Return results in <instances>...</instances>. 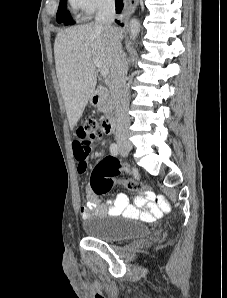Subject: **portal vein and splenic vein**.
Masks as SVG:
<instances>
[{
  "label": "portal vein and splenic vein",
  "mask_w": 227,
  "mask_h": 298,
  "mask_svg": "<svg viewBox=\"0 0 227 298\" xmlns=\"http://www.w3.org/2000/svg\"><path fill=\"white\" fill-rule=\"evenodd\" d=\"M93 62H94V65L99 69L100 74L103 77H106L109 73V68L102 65L101 62L99 61V59H97V58H93Z\"/></svg>",
  "instance_id": "portal-vein-and-splenic-vein-1"
}]
</instances>
